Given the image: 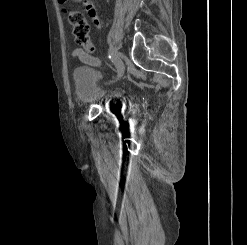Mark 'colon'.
Masks as SVG:
<instances>
[{"label": "colon", "mask_w": 247, "mask_h": 245, "mask_svg": "<svg viewBox=\"0 0 247 245\" xmlns=\"http://www.w3.org/2000/svg\"><path fill=\"white\" fill-rule=\"evenodd\" d=\"M68 20L73 27L77 43L82 45L87 52H93L94 46L89 37V25L84 14L80 11L72 10L68 13Z\"/></svg>", "instance_id": "obj_1"}]
</instances>
